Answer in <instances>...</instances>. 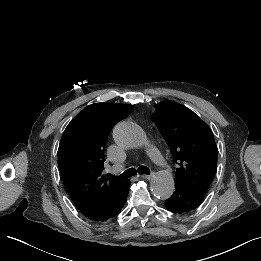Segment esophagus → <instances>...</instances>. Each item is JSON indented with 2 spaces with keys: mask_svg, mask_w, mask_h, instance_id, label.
Returning a JSON list of instances; mask_svg holds the SVG:
<instances>
[{
  "mask_svg": "<svg viewBox=\"0 0 261 261\" xmlns=\"http://www.w3.org/2000/svg\"><path fill=\"white\" fill-rule=\"evenodd\" d=\"M141 177H142V178H144V179H147V180H151V179H152V177H153V173H152V174H150V175L143 174V175H141Z\"/></svg>",
  "mask_w": 261,
  "mask_h": 261,
  "instance_id": "obj_1",
  "label": "esophagus"
}]
</instances>
